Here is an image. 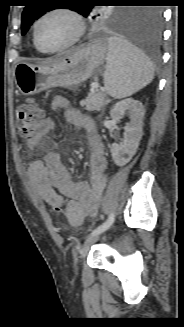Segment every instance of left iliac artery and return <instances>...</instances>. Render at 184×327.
Listing matches in <instances>:
<instances>
[{
    "mask_svg": "<svg viewBox=\"0 0 184 327\" xmlns=\"http://www.w3.org/2000/svg\"><path fill=\"white\" fill-rule=\"evenodd\" d=\"M114 220H115V215H114V213H111L109 215L108 219L103 224H101L95 230L92 231L91 236L92 235H95V234L102 233L105 230H107L112 225V223L114 222Z\"/></svg>",
    "mask_w": 184,
    "mask_h": 327,
    "instance_id": "obj_1",
    "label": "left iliac artery"
}]
</instances>
